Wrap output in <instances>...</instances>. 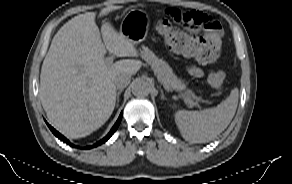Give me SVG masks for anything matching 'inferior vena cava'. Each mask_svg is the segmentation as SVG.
<instances>
[{"label":"inferior vena cava","mask_w":292,"mask_h":184,"mask_svg":"<svg viewBox=\"0 0 292 184\" xmlns=\"http://www.w3.org/2000/svg\"><path fill=\"white\" fill-rule=\"evenodd\" d=\"M131 81V76L127 74H121L115 79V86L117 89H124Z\"/></svg>","instance_id":"602c4592"}]
</instances>
